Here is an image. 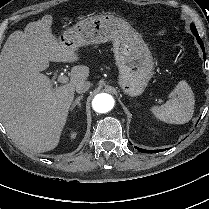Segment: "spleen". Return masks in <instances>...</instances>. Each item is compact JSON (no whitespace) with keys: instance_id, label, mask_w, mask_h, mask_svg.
Masks as SVG:
<instances>
[{"instance_id":"obj_1","label":"spleen","mask_w":209,"mask_h":209,"mask_svg":"<svg viewBox=\"0 0 209 209\" xmlns=\"http://www.w3.org/2000/svg\"><path fill=\"white\" fill-rule=\"evenodd\" d=\"M170 99L160 106H153L152 113L159 120L169 124H184L194 113L195 98L191 87L180 81L169 94Z\"/></svg>"}]
</instances>
